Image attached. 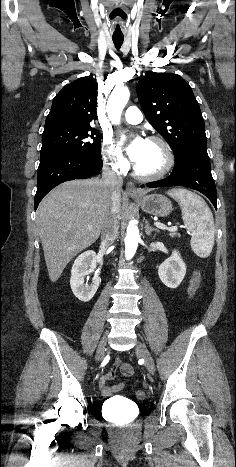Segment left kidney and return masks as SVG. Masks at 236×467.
Listing matches in <instances>:
<instances>
[{"instance_id":"5707ae66","label":"left kidney","mask_w":236,"mask_h":467,"mask_svg":"<svg viewBox=\"0 0 236 467\" xmlns=\"http://www.w3.org/2000/svg\"><path fill=\"white\" fill-rule=\"evenodd\" d=\"M186 274V265L178 251L174 250L172 255L160 264L158 275L162 283L171 288H177Z\"/></svg>"}]
</instances>
